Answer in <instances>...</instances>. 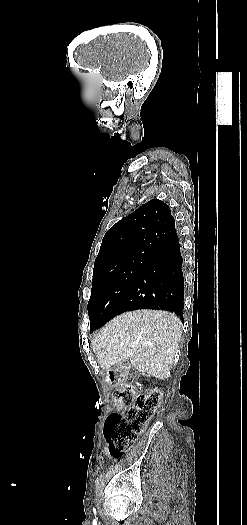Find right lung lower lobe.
<instances>
[{"instance_id":"right-lung-lower-lobe-1","label":"right lung lower lobe","mask_w":247,"mask_h":525,"mask_svg":"<svg viewBox=\"0 0 247 525\" xmlns=\"http://www.w3.org/2000/svg\"><path fill=\"white\" fill-rule=\"evenodd\" d=\"M183 258L176 234L149 256V261L130 291L119 304L116 315L136 310L155 309L176 313L182 318L184 299ZM96 326L90 332L98 329Z\"/></svg>"}]
</instances>
